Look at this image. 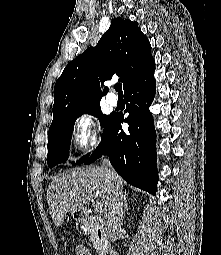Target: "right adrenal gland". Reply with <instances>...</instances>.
I'll return each mask as SVG.
<instances>
[{"label":"right adrenal gland","mask_w":221,"mask_h":255,"mask_svg":"<svg viewBox=\"0 0 221 255\" xmlns=\"http://www.w3.org/2000/svg\"><path fill=\"white\" fill-rule=\"evenodd\" d=\"M126 196H127V194H126V192H124V204H123L124 212L128 211V199Z\"/></svg>","instance_id":"obj_1"}]
</instances>
